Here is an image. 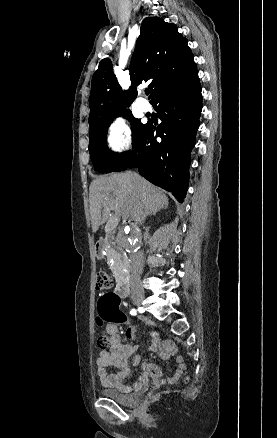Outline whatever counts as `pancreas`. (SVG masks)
<instances>
[{
    "mask_svg": "<svg viewBox=\"0 0 277 438\" xmlns=\"http://www.w3.org/2000/svg\"><path fill=\"white\" fill-rule=\"evenodd\" d=\"M116 238V233L114 231H105L104 235H100L97 239L96 244L101 245V252L106 253L109 270H122L125 264L123 259L122 251H117L118 247L115 244L114 239Z\"/></svg>",
    "mask_w": 277,
    "mask_h": 438,
    "instance_id": "pancreas-1",
    "label": "pancreas"
}]
</instances>
